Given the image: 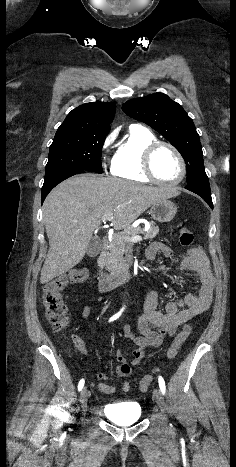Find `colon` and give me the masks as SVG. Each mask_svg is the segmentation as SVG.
Segmentation results:
<instances>
[{
  "label": "colon",
  "instance_id": "1",
  "mask_svg": "<svg viewBox=\"0 0 236 467\" xmlns=\"http://www.w3.org/2000/svg\"><path fill=\"white\" fill-rule=\"evenodd\" d=\"M178 233L181 245L189 247L193 244L194 235L190 229L181 225L179 227ZM86 277V269H72L55 277L44 285L43 305L45 308L46 318L54 332L62 331L69 323L67 307L63 302L61 292L69 285L84 281ZM191 331L192 327L190 325L183 326L167 351L168 359H174L176 357L180 346L188 338ZM72 343L77 350L81 351L83 343L78 337H72ZM155 372L156 370L153 373L146 375L140 382L139 388L142 392H146L148 390L149 384L152 381Z\"/></svg>",
  "mask_w": 236,
  "mask_h": 467
}]
</instances>
